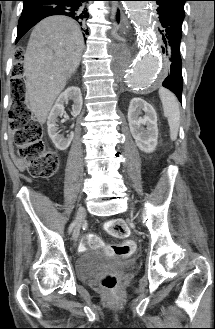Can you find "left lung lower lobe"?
<instances>
[{
	"mask_svg": "<svg viewBox=\"0 0 215 329\" xmlns=\"http://www.w3.org/2000/svg\"><path fill=\"white\" fill-rule=\"evenodd\" d=\"M154 1L158 5L156 11L162 26L161 49L167 60V76L162 85L171 90L181 102L183 78L180 43L184 16L159 0Z\"/></svg>",
	"mask_w": 215,
	"mask_h": 329,
	"instance_id": "1",
	"label": "left lung lower lobe"
}]
</instances>
